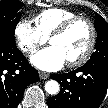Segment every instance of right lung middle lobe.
Returning <instances> with one entry per match:
<instances>
[{
	"label": "right lung middle lobe",
	"mask_w": 108,
	"mask_h": 108,
	"mask_svg": "<svg viewBox=\"0 0 108 108\" xmlns=\"http://www.w3.org/2000/svg\"><path fill=\"white\" fill-rule=\"evenodd\" d=\"M23 3L16 0H3L0 2V39L15 44L14 31L18 24L21 13L19 9Z\"/></svg>",
	"instance_id": "1"
}]
</instances>
